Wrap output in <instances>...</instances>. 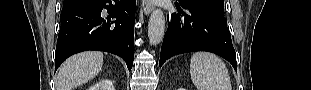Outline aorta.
I'll list each match as a JSON object with an SVG mask.
<instances>
[{
    "label": "aorta",
    "mask_w": 311,
    "mask_h": 90,
    "mask_svg": "<svg viewBox=\"0 0 311 90\" xmlns=\"http://www.w3.org/2000/svg\"><path fill=\"white\" fill-rule=\"evenodd\" d=\"M165 33V16L161 9H155L148 22V38L152 45L159 44Z\"/></svg>",
    "instance_id": "aorta-1"
}]
</instances>
